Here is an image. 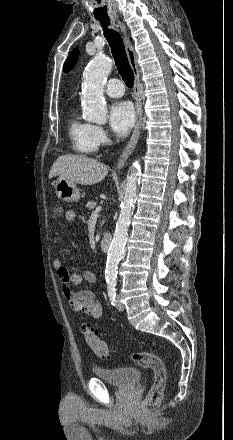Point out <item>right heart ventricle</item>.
Wrapping results in <instances>:
<instances>
[{"label":"right heart ventricle","mask_w":233,"mask_h":440,"mask_svg":"<svg viewBox=\"0 0 233 440\" xmlns=\"http://www.w3.org/2000/svg\"><path fill=\"white\" fill-rule=\"evenodd\" d=\"M68 134L73 149L81 155H93L98 150L94 138V125L83 121L76 111L71 113L68 123Z\"/></svg>","instance_id":"e07e8e85"}]
</instances>
